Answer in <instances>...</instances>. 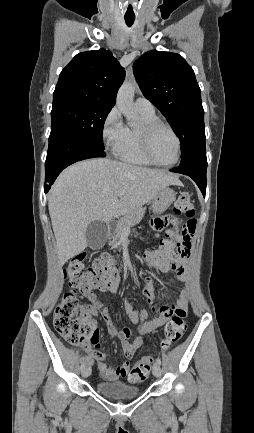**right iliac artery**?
<instances>
[{"instance_id":"1","label":"right iliac artery","mask_w":254,"mask_h":433,"mask_svg":"<svg viewBox=\"0 0 254 433\" xmlns=\"http://www.w3.org/2000/svg\"><path fill=\"white\" fill-rule=\"evenodd\" d=\"M85 367V363L83 362L82 364H81V369H83Z\"/></svg>"}]
</instances>
